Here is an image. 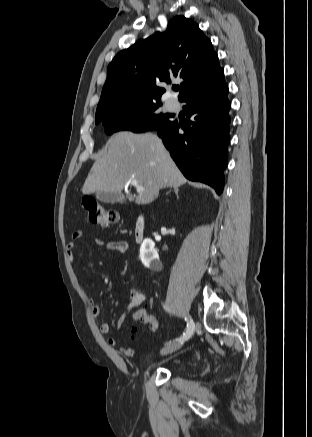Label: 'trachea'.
<instances>
[{"mask_svg":"<svg viewBox=\"0 0 312 437\" xmlns=\"http://www.w3.org/2000/svg\"><path fill=\"white\" fill-rule=\"evenodd\" d=\"M174 90H175V91H178V90H179V87H175Z\"/></svg>","mask_w":312,"mask_h":437,"instance_id":"1","label":"trachea"}]
</instances>
